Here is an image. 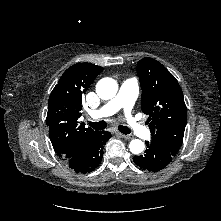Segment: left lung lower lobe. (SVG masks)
<instances>
[{
  "mask_svg": "<svg viewBox=\"0 0 221 221\" xmlns=\"http://www.w3.org/2000/svg\"><path fill=\"white\" fill-rule=\"evenodd\" d=\"M174 156L159 150L150 143H147V149L144 155L135 156L133 161L142 169L148 171H159L165 168Z\"/></svg>",
  "mask_w": 221,
  "mask_h": 221,
  "instance_id": "left-lung-lower-lobe-1",
  "label": "left lung lower lobe"
}]
</instances>
